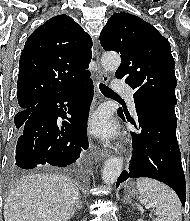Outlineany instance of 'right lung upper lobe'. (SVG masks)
<instances>
[{"instance_id":"1","label":"right lung upper lobe","mask_w":190,"mask_h":221,"mask_svg":"<svg viewBox=\"0 0 190 221\" xmlns=\"http://www.w3.org/2000/svg\"><path fill=\"white\" fill-rule=\"evenodd\" d=\"M91 47L90 36L67 15L53 17L39 26L20 56V109L32 110L45 98L87 82Z\"/></svg>"}]
</instances>
